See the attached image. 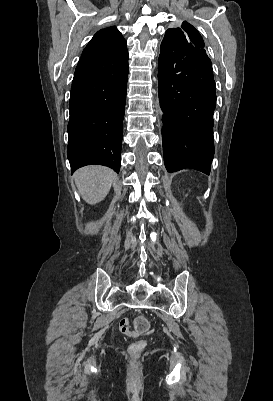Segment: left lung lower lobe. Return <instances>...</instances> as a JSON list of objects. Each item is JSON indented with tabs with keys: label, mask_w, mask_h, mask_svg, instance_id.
<instances>
[{
	"label": "left lung lower lobe",
	"mask_w": 273,
	"mask_h": 401,
	"mask_svg": "<svg viewBox=\"0 0 273 401\" xmlns=\"http://www.w3.org/2000/svg\"><path fill=\"white\" fill-rule=\"evenodd\" d=\"M158 82L164 111L162 143L167 171L192 168L210 174L216 91L205 49L190 43H161Z\"/></svg>",
	"instance_id": "0a47b994"
}]
</instances>
